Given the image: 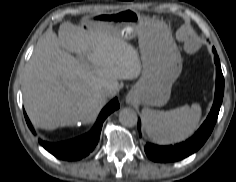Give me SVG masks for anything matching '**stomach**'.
<instances>
[{
  "mask_svg": "<svg viewBox=\"0 0 236 182\" xmlns=\"http://www.w3.org/2000/svg\"><path fill=\"white\" fill-rule=\"evenodd\" d=\"M89 23L103 26L124 40L139 37L142 50V74L128 93V100L147 106L165 105L171 87L182 71V58L167 25L135 10L113 15L91 14Z\"/></svg>",
  "mask_w": 236,
  "mask_h": 182,
  "instance_id": "stomach-1",
  "label": "stomach"
}]
</instances>
